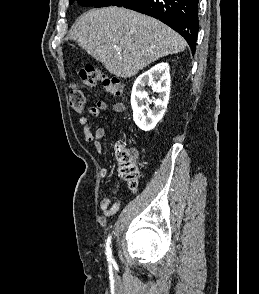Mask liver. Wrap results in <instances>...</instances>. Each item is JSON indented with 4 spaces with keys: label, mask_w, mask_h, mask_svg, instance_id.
Segmentation results:
<instances>
[{
    "label": "liver",
    "mask_w": 259,
    "mask_h": 294,
    "mask_svg": "<svg viewBox=\"0 0 259 294\" xmlns=\"http://www.w3.org/2000/svg\"><path fill=\"white\" fill-rule=\"evenodd\" d=\"M68 38L121 78L135 76L159 58L184 51L187 45L182 36L159 20L118 7L83 13Z\"/></svg>",
    "instance_id": "liver-1"
}]
</instances>
